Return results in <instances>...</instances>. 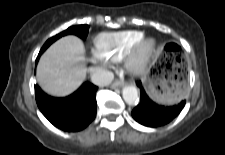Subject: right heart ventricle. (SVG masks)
<instances>
[{
	"instance_id": "1",
	"label": "right heart ventricle",
	"mask_w": 225,
	"mask_h": 155,
	"mask_svg": "<svg viewBox=\"0 0 225 155\" xmlns=\"http://www.w3.org/2000/svg\"><path fill=\"white\" fill-rule=\"evenodd\" d=\"M143 37V32L135 30L103 33L96 38L95 51L108 61H119L124 58Z\"/></svg>"
}]
</instances>
